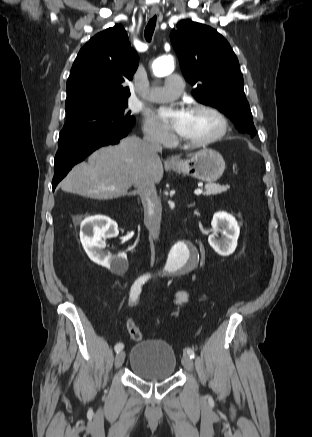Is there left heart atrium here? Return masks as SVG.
Segmentation results:
<instances>
[{"mask_svg": "<svg viewBox=\"0 0 312 437\" xmlns=\"http://www.w3.org/2000/svg\"><path fill=\"white\" fill-rule=\"evenodd\" d=\"M158 118L164 125L183 135L187 129L190 112L182 108L162 107L158 111Z\"/></svg>", "mask_w": 312, "mask_h": 437, "instance_id": "39dd6f15", "label": "left heart atrium"}]
</instances>
